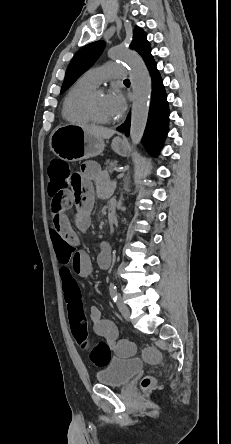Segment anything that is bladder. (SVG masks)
<instances>
[{"instance_id": "obj_1", "label": "bladder", "mask_w": 231, "mask_h": 444, "mask_svg": "<svg viewBox=\"0 0 231 444\" xmlns=\"http://www.w3.org/2000/svg\"><path fill=\"white\" fill-rule=\"evenodd\" d=\"M102 368L96 374L97 381L101 385L120 387L142 370L143 363L137 359L112 357Z\"/></svg>"}]
</instances>
